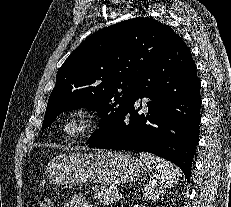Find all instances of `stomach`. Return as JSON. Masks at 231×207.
Segmentation results:
<instances>
[{
	"instance_id": "stomach-1",
	"label": "stomach",
	"mask_w": 231,
	"mask_h": 207,
	"mask_svg": "<svg viewBox=\"0 0 231 207\" xmlns=\"http://www.w3.org/2000/svg\"><path fill=\"white\" fill-rule=\"evenodd\" d=\"M145 165L138 158L122 152H70L54 158L47 167V176L57 184L116 185L139 181Z\"/></svg>"
}]
</instances>
